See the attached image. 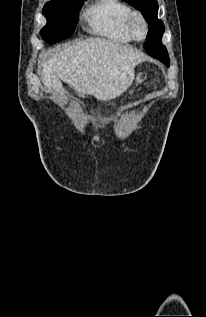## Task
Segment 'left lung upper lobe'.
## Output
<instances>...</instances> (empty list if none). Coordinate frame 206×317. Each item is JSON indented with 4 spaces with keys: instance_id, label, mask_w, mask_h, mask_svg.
<instances>
[{
    "instance_id": "left-lung-upper-lobe-1",
    "label": "left lung upper lobe",
    "mask_w": 206,
    "mask_h": 317,
    "mask_svg": "<svg viewBox=\"0 0 206 317\" xmlns=\"http://www.w3.org/2000/svg\"><path fill=\"white\" fill-rule=\"evenodd\" d=\"M125 2L129 3L136 9L140 10L143 14L146 21H148L149 32L146 37V43L144 45L145 50L147 53L148 50L146 45H153V41L161 42L162 35L164 33V25L161 20L157 18L158 13V4L157 0H124ZM162 61L166 66H169V57L167 50L160 51Z\"/></svg>"
}]
</instances>
